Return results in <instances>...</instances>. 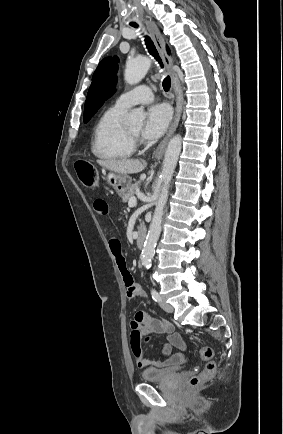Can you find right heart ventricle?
Returning <instances> with one entry per match:
<instances>
[{"instance_id": "right-heart-ventricle-1", "label": "right heart ventricle", "mask_w": 283, "mask_h": 434, "mask_svg": "<svg viewBox=\"0 0 283 434\" xmlns=\"http://www.w3.org/2000/svg\"><path fill=\"white\" fill-rule=\"evenodd\" d=\"M126 109L112 106L98 119L93 132L91 150L95 157L106 160H123L132 156L135 142L123 125Z\"/></svg>"}]
</instances>
